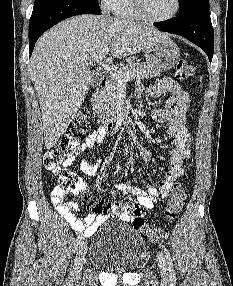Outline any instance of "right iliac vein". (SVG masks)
Returning a JSON list of instances; mask_svg holds the SVG:
<instances>
[{"instance_id": "obj_1", "label": "right iliac vein", "mask_w": 233, "mask_h": 286, "mask_svg": "<svg viewBox=\"0 0 233 286\" xmlns=\"http://www.w3.org/2000/svg\"><path fill=\"white\" fill-rule=\"evenodd\" d=\"M86 255V243L82 241L79 245V249L75 258V263L72 271L73 282H78L81 277L83 263Z\"/></svg>"}]
</instances>
